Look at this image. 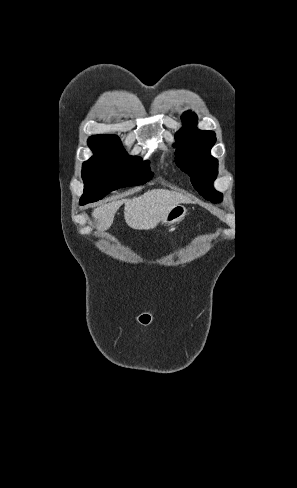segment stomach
<instances>
[{
	"label": "stomach",
	"instance_id": "0dacf381",
	"mask_svg": "<svg viewBox=\"0 0 297 488\" xmlns=\"http://www.w3.org/2000/svg\"><path fill=\"white\" fill-rule=\"evenodd\" d=\"M186 213H187L186 207L181 204H178L169 210V212L161 220V222L162 224L165 225L176 224L186 216Z\"/></svg>",
	"mask_w": 297,
	"mask_h": 488
}]
</instances>
